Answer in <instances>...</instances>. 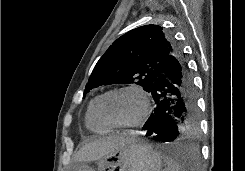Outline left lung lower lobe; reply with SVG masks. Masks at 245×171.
Masks as SVG:
<instances>
[{"label": "left lung lower lobe", "instance_id": "obj_1", "mask_svg": "<svg viewBox=\"0 0 245 171\" xmlns=\"http://www.w3.org/2000/svg\"><path fill=\"white\" fill-rule=\"evenodd\" d=\"M155 101L154 112L143 126L146 136L158 141L177 142L192 132L197 122V99L192 74L178 48L164 62L161 75L149 91ZM181 167H196L199 157L194 148L178 151Z\"/></svg>", "mask_w": 245, "mask_h": 171}]
</instances>
